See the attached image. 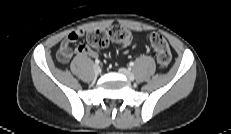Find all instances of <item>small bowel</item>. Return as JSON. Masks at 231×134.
I'll return each instance as SVG.
<instances>
[{
  "instance_id": "1",
  "label": "small bowel",
  "mask_w": 231,
  "mask_h": 134,
  "mask_svg": "<svg viewBox=\"0 0 231 134\" xmlns=\"http://www.w3.org/2000/svg\"><path fill=\"white\" fill-rule=\"evenodd\" d=\"M84 35V31L77 30L69 33L66 38L62 41L58 52H57V59L61 63H68L71 56H72V50H71V44L74 43L76 40H78L80 37ZM136 44L132 46V48H135ZM74 53L76 55L80 56H89L92 58L98 57V53L91 49L89 46L85 44H81L77 46L74 50Z\"/></svg>"
}]
</instances>
